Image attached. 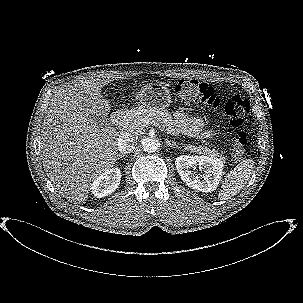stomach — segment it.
Here are the masks:
<instances>
[{
	"instance_id": "0dacf381",
	"label": "stomach",
	"mask_w": 303,
	"mask_h": 303,
	"mask_svg": "<svg viewBox=\"0 0 303 303\" xmlns=\"http://www.w3.org/2000/svg\"><path fill=\"white\" fill-rule=\"evenodd\" d=\"M139 108L146 110H163L170 106L171 95L162 82L145 84L138 94Z\"/></svg>"
}]
</instances>
